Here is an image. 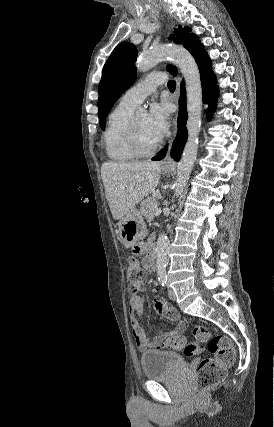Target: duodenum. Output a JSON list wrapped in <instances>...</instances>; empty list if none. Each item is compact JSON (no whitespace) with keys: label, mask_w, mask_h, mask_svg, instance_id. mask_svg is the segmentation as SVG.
<instances>
[{"label":"duodenum","mask_w":274,"mask_h":427,"mask_svg":"<svg viewBox=\"0 0 274 427\" xmlns=\"http://www.w3.org/2000/svg\"><path fill=\"white\" fill-rule=\"evenodd\" d=\"M156 257V246L152 244L148 249V259L154 265Z\"/></svg>","instance_id":"obj_1"}]
</instances>
